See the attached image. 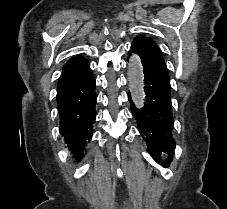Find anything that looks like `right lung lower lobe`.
I'll use <instances>...</instances> for the list:
<instances>
[{"instance_id":"obj_1","label":"right lung lower lobe","mask_w":227,"mask_h":209,"mask_svg":"<svg viewBox=\"0 0 227 209\" xmlns=\"http://www.w3.org/2000/svg\"><path fill=\"white\" fill-rule=\"evenodd\" d=\"M58 84L57 108L60 116V132L67 147L78 159L83 158V149L92 137V124L95 122V79L89 62L84 65H68Z\"/></svg>"}]
</instances>
